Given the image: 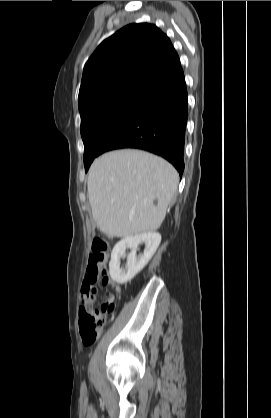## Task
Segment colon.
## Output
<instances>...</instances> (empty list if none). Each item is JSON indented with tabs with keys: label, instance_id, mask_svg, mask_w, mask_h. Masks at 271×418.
<instances>
[{
	"label": "colon",
	"instance_id": "obj_1",
	"mask_svg": "<svg viewBox=\"0 0 271 418\" xmlns=\"http://www.w3.org/2000/svg\"><path fill=\"white\" fill-rule=\"evenodd\" d=\"M108 254V243L105 239L98 237L92 242L89 265L86 274L87 282L91 286L84 295V306L80 310V329L83 344L92 345L107 321V316L114 311L115 303L113 297H107L99 309H93L91 302L95 299V289L92 285L98 281L103 283L110 280L105 269V262Z\"/></svg>",
	"mask_w": 271,
	"mask_h": 418
}]
</instances>
